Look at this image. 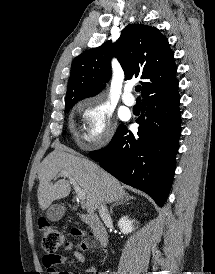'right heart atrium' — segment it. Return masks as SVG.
Wrapping results in <instances>:
<instances>
[{
    "label": "right heart atrium",
    "instance_id": "1",
    "mask_svg": "<svg viewBox=\"0 0 215 274\" xmlns=\"http://www.w3.org/2000/svg\"><path fill=\"white\" fill-rule=\"evenodd\" d=\"M80 113V146L89 149L108 143L113 132L112 114L108 107L98 100L88 99L80 104Z\"/></svg>",
    "mask_w": 215,
    "mask_h": 274
}]
</instances>
